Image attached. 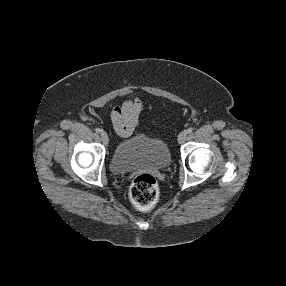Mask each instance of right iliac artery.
I'll list each match as a JSON object with an SVG mask.
<instances>
[{
  "mask_svg": "<svg viewBox=\"0 0 286 286\" xmlns=\"http://www.w3.org/2000/svg\"><path fill=\"white\" fill-rule=\"evenodd\" d=\"M95 131H96L97 133H101V132H102V130H101L100 128H96Z\"/></svg>",
  "mask_w": 286,
  "mask_h": 286,
  "instance_id": "right-iliac-artery-1",
  "label": "right iliac artery"
}]
</instances>
